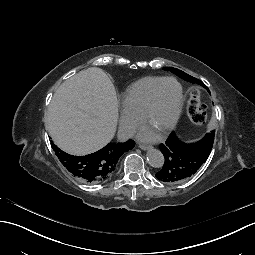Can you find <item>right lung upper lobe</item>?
Masks as SVG:
<instances>
[{
    "label": "right lung upper lobe",
    "mask_w": 255,
    "mask_h": 255,
    "mask_svg": "<svg viewBox=\"0 0 255 255\" xmlns=\"http://www.w3.org/2000/svg\"><path fill=\"white\" fill-rule=\"evenodd\" d=\"M134 145L135 143L132 140H128L124 143H109L101 150L92 153L91 155H93L94 159H97L100 162V173L94 176L92 180H85L83 178L84 156L66 154L60 150L53 142L51 143V146L60 159V162L68 169V171L71 172L74 176L78 177L80 180L89 183L100 182L109 177L115 170L120 156L128 150L132 149Z\"/></svg>",
    "instance_id": "right-lung-upper-lobe-1"
}]
</instances>
